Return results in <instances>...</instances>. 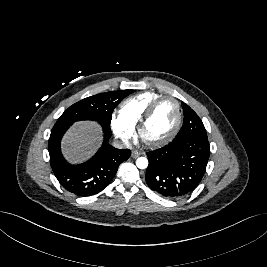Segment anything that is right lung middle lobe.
<instances>
[{
	"instance_id": "dd1d6c3e",
	"label": "right lung middle lobe",
	"mask_w": 267,
	"mask_h": 267,
	"mask_svg": "<svg viewBox=\"0 0 267 267\" xmlns=\"http://www.w3.org/2000/svg\"><path fill=\"white\" fill-rule=\"evenodd\" d=\"M133 90L110 91L87 97L64 111L55 125L73 124L80 120H94L110 125L114 108Z\"/></svg>"
}]
</instances>
